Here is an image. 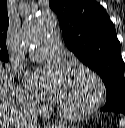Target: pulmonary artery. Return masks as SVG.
<instances>
[{
	"mask_svg": "<svg viewBox=\"0 0 125 128\" xmlns=\"http://www.w3.org/2000/svg\"><path fill=\"white\" fill-rule=\"evenodd\" d=\"M63 54L62 45L57 37H51L46 43L35 50L29 52V57L34 60H45L49 58H57Z\"/></svg>",
	"mask_w": 125,
	"mask_h": 128,
	"instance_id": "pulmonary-artery-1",
	"label": "pulmonary artery"
}]
</instances>
